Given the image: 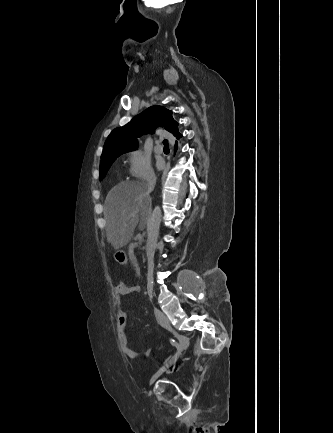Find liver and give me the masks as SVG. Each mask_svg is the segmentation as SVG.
Returning a JSON list of instances; mask_svg holds the SVG:
<instances>
[{"label":"liver","instance_id":"obj_1","mask_svg":"<svg viewBox=\"0 0 333 433\" xmlns=\"http://www.w3.org/2000/svg\"><path fill=\"white\" fill-rule=\"evenodd\" d=\"M151 207L147 184L140 181H125L114 186L107 194L104 205V227L107 241L118 250L126 246L140 222ZM133 216H130L132 215ZM140 214V216H139Z\"/></svg>","mask_w":333,"mask_h":433}]
</instances>
